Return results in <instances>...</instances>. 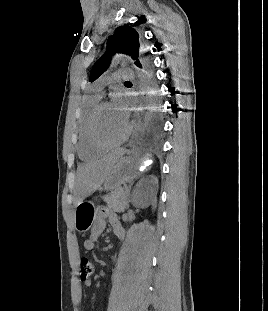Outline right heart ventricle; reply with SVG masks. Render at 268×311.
<instances>
[{
    "mask_svg": "<svg viewBox=\"0 0 268 311\" xmlns=\"http://www.w3.org/2000/svg\"><path fill=\"white\" fill-rule=\"evenodd\" d=\"M100 97L95 95L85 99L79 115L77 151L82 160H90L101 154L102 150L95 147L89 138V120L94 108L99 103Z\"/></svg>",
    "mask_w": 268,
    "mask_h": 311,
    "instance_id": "obj_1",
    "label": "right heart ventricle"
}]
</instances>
